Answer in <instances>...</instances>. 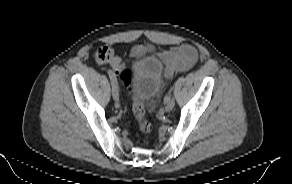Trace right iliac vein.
<instances>
[{"label":"right iliac vein","instance_id":"63e3f726","mask_svg":"<svg viewBox=\"0 0 292 184\" xmlns=\"http://www.w3.org/2000/svg\"><path fill=\"white\" fill-rule=\"evenodd\" d=\"M112 96L115 101H119V88L117 82L112 84Z\"/></svg>","mask_w":292,"mask_h":184}]
</instances>
